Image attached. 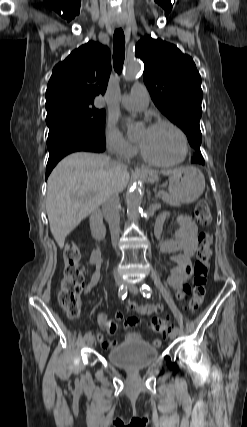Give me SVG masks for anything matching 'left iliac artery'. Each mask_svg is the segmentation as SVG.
<instances>
[{
	"label": "left iliac artery",
	"mask_w": 247,
	"mask_h": 427,
	"mask_svg": "<svg viewBox=\"0 0 247 427\" xmlns=\"http://www.w3.org/2000/svg\"><path fill=\"white\" fill-rule=\"evenodd\" d=\"M141 291H142V294H143L144 297L149 298L151 296V288L148 285L143 284L142 287H141ZM174 329L177 330V331H179V327L178 326H175Z\"/></svg>",
	"instance_id": "left-iliac-artery-1"
}]
</instances>
